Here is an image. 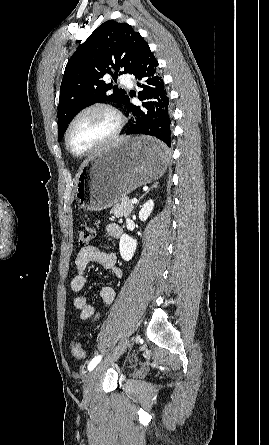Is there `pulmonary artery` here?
I'll return each instance as SVG.
<instances>
[{
    "label": "pulmonary artery",
    "mask_w": 269,
    "mask_h": 445,
    "mask_svg": "<svg viewBox=\"0 0 269 445\" xmlns=\"http://www.w3.org/2000/svg\"><path fill=\"white\" fill-rule=\"evenodd\" d=\"M120 82H121L122 84L127 85V86H131V85H132V81H131V79L129 78V76H127V75H122V76H120Z\"/></svg>",
    "instance_id": "1"
}]
</instances>
